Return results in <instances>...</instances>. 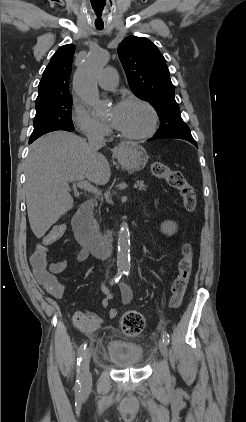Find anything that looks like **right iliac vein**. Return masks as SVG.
Segmentation results:
<instances>
[{
  "mask_svg": "<svg viewBox=\"0 0 246 422\" xmlns=\"http://www.w3.org/2000/svg\"><path fill=\"white\" fill-rule=\"evenodd\" d=\"M90 359L91 351L87 350L84 354L83 361L81 363V376H82V387L86 390L90 387L92 382V375L90 372Z\"/></svg>",
  "mask_w": 246,
  "mask_h": 422,
  "instance_id": "63e3f726",
  "label": "right iliac vein"
}]
</instances>
